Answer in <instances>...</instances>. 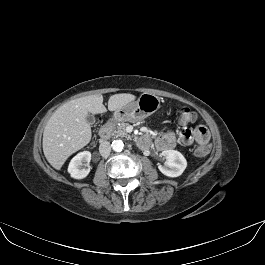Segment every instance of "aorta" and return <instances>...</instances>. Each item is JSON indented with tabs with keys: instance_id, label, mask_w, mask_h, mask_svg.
Wrapping results in <instances>:
<instances>
[{
	"instance_id": "762f6f07",
	"label": "aorta",
	"mask_w": 265,
	"mask_h": 265,
	"mask_svg": "<svg viewBox=\"0 0 265 265\" xmlns=\"http://www.w3.org/2000/svg\"><path fill=\"white\" fill-rule=\"evenodd\" d=\"M111 146L116 152H121L124 149V143L122 140H114Z\"/></svg>"
}]
</instances>
